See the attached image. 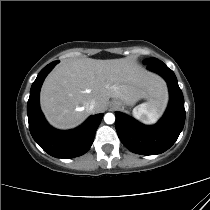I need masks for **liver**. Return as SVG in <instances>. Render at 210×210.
<instances>
[{
  "label": "liver",
  "instance_id": "1",
  "mask_svg": "<svg viewBox=\"0 0 210 210\" xmlns=\"http://www.w3.org/2000/svg\"><path fill=\"white\" fill-rule=\"evenodd\" d=\"M164 81L133 60L91 58L64 61L47 76L41 88V108L58 128H72L89 114L104 111L110 98L131 105L140 99L164 104ZM94 100L93 112L87 104Z\"/></svg>",
  "mask_w": 210,
  "mask_h": 210
}]
</instances>
